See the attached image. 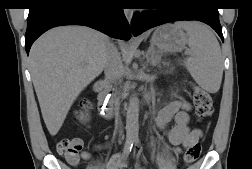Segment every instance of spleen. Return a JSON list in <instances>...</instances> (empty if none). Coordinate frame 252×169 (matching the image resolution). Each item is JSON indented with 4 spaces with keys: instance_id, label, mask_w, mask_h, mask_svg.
Masks as SVG:
<instances>
[{
    "instance_id": "spleen-1",
    "label": "spleen",
    "mask_w": 252,
    "mask_h": 169,
    "mask_svg": "<svg viewBox=\"0 0 252 169\" xmlns=\"http://www.w3.org/2000/svg\"><path fill=\"white\" fill-rule=\"evenodd\" d=\"M187 33L190 57L185 66L195 82L209 93L220 89L223 75V57L213 32L198 22H178Z\"/></svg>"
}]
</instances>
